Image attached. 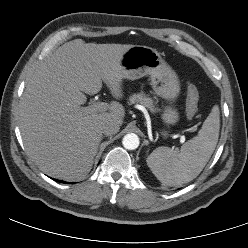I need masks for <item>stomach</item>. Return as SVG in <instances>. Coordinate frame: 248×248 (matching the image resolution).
Here are the masks:
<instances>
[{
  "label": "stomach",
  "instance_id": "1",
  "mask_svg": "<svg viewBox=\"0 0 248 248\" xmlns=\"http://www.w3.org/2000/svg\"><path fill=\"white\" fill-rule=\"evenodd\" d=\"M120 65L125 72V78L129 80L150 75V84L155 94L163 99L172 103L179 95L178 77L156 49L134 45L124 52ZM162 119L167 124H175L179 119V114L174 107L166 106ZM163 135L166 136L167 133L163 132Z\"/></svg>",
  "mask_w": 248,
  "mask_h": 248
}]
</instances>
